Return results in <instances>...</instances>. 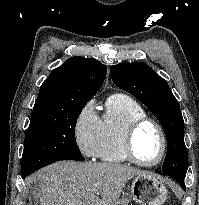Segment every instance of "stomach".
<instances>
[{
    "mask_svg": "<svg viewBox=\"0 0 199 205\" xmlns=\"http://www.w3.org/2000/svg\"><path fill=\"white\" fill-rule=\"evenodd\" d=\"M168 190L161 180L150 174L137 175L131 184L130 197L140 205H162L167 199ZM129 194L112 205H128Z\"/></svg>",
    "mask_w": 199,
    "mask_h": 205,
    "instance_id": "stomach-1",
    "label": "stomach"
}]
</instances>
